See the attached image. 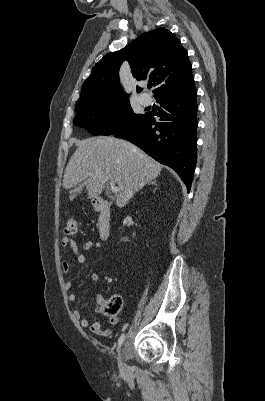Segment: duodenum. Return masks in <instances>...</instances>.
Wrapping results in <instances>:
<instances>
[{
  "label": "duodenum",
  "mask_w": 265,
  "mask_h": 401,
  "mask_svg": "<svg viewBox=\"0 0 265 401\" xmlns=\"http://www.w3.org/2000/svg\"><path fill=\"white\" fill-rule=\"evenodd\" d=\"M94 208L98 212V232L102 239H107L111 232V206L103 198H96Z\"/></svg>",
  "instance_id": "1"
}]
</instances>
